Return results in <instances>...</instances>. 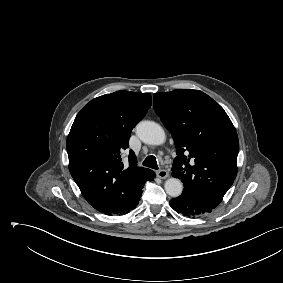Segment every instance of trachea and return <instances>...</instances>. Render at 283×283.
<instances>
[{"label":"trachea","mask_w":283,"mask_h":283,"mask_svg":"<svg viewBox=\"0 0 283 283\" xmlns=\"http://www.w3.org/2000/svg\"><path fill=\"white\" fill-rule=\"evenodd\" d=\"M143 165L152 169H158V164L155 156H148L144 161Z\"/></svg>","instance_id":"3493384b"}]
</instances>
